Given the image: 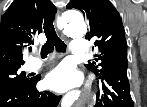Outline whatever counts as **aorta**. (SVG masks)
I'll list each match as a JSON object with an SVG mask.
<instances>
[{
  "label": "aorta",
  "instance_id": "aorta-1",
  "mask_svg": "<svg viewBox=\"0 0 147 107\" xmlns=\"http://www.w3.org/2000/svg\"><path fill=\"white\" fill-rule=\"evenodd\" d=\"M63 31L68 37L80 38L85 36L87 27L80 17H70L64 19Z\"/></svg>",
  "mask_w": 147,
  "mask_h": 107
}]
</instances>
